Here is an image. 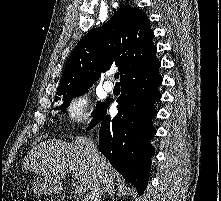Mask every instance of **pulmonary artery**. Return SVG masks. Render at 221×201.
<instances>
[{"mask_svg": "<svg viewBox=\"0 0 221 201\" xmlns=\"http://www.w3.org/2000/svg\"><path fill=\"white\" fill-rule=\"evenodd\" d=\"M103 88H104L105 91L111 92L114 88V85L112 84L111 81H105L104 84H103Z\"/></svg>", "mask_w": 221, "mask_h": 201, "instance_id": "e3ab8cb5", "label": "pulmonary artery"}]
</instances>
